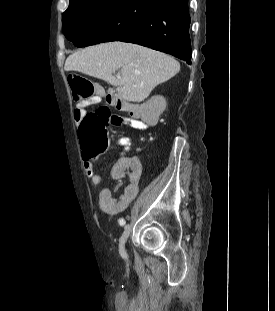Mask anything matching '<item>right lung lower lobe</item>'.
<instances>
[{"instance_id":"98d812e1","label":"right lung lower lobe","mask_w":275,"mask_h":311,"mask_svg":"<svg viewBox=\"0 0 275 311\" xmlns=\"http://www.w3.org/2000/svg\"><path fill=\"white\" fill-rule=\"evenodd\" d=\"M188 0H165L134 21L114 41L140 44L191 64Z\"/></svg>"}]
</instances>
